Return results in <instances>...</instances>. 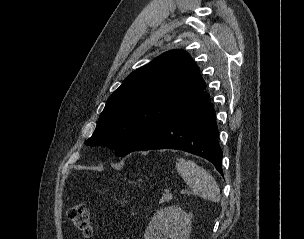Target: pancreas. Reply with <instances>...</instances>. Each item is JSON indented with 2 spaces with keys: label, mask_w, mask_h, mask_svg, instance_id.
I'll return each instance as SVG.
<instances>
[{
  "label": "pancreas",
  "mask_w": 304,
  "mask_h": 239,
  "mask_svg": "<svg viewBox=\"0 0 304 239\" xmlns=\"http://www.w3.org/2000/svg\"><path fill=\"white\" fill-rule=\"evenodd\" d=\"M170 199H171V197H170V196L165 195V196H163V197L160 199L159 203H165V202H168Z\"/></svg>",
  "instance_id": "1"
}]
</instances>
